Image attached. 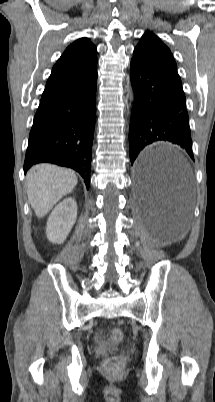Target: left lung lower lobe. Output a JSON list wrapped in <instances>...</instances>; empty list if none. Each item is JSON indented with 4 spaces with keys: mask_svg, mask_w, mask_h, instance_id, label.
I'll list each match as a JSON object with an SVG mask.
<instances>
[{
    "mask_svg": "<svg viewBox=\"0 0 215 402\" xmlns=\"http://www.w3.org/2000/svg\"><path fill=\"white\" fill-rule=\"evenodd\" d=\"M130 78L134 89V108L129 128L130 161L133 165L139 152L149 144L166 142L179 145L194 160L192 139L182 83L177 78L131 60ZM143 180H152L149 170H140ZM170 202L176 194L159 184Z\"/></svg>",
    "mask_w": 215,
    "mask_h": 402,
    "instance_id": "1",
    "label": "left lung lower lobe"
}]
</instances>
